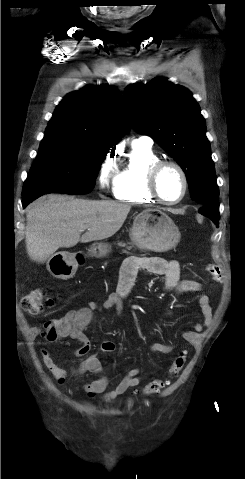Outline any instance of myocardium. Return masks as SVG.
I'll list each match as a JSON object with an SVG mask.
<instances>
[{
	"mask_svg": "<svg viewBox=\"0 0 245 479\" xmlns=\"http://www.w3.org/2000/svg\"><path fill=\"white\" fill-rule=\"evenodd\" d=\"M168 167L174 168L178 172V174L181 177L182 185H183L181 196L174 201H168L164 199L159 190L160 176L162 172ZM147 187L151 195L155 197L156 200L159 201L160 203L166 204V205H175L180 203L186 197L188 188H189V182H188V177L186 175L184 168L178 162L173 160L163 159V160L157 161L150 168L148 173Z\"/></svg>",
	"mask_w": 245,
	"mask_h": 479,
	"instance_id": "myocardium-1",
	"label": "myocardium"
}]
</instances>
